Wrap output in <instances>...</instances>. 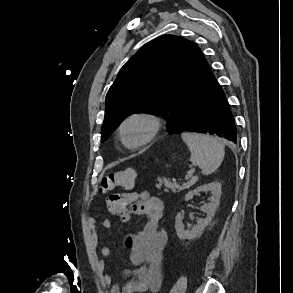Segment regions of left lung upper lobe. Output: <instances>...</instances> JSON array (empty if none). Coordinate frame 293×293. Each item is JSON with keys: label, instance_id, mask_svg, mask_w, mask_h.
<instances>
[{"label": "left lung upper lobe", "instance_id": "1", "mask_svg": "<svg viewBox=\"0 0 293 293\" xmlns=\"http://www.w3.org/2000/svg\"><path fill=\"white\" fill-rule=\"evenodd\" d=\"M211 77L208 63L195 43L174 35L148 42L121 68L106 95L101 141L126 117L138 112L165 117L168 132H172L187 103Z\"/></svg>", "mask_w": 293, "mask_h": 293}]
</instances>
